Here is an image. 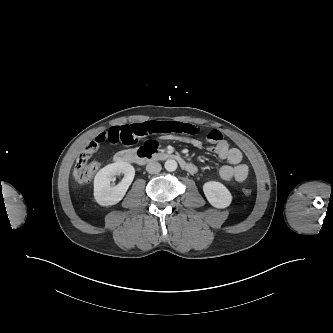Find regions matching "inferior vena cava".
Segmentation results:
<instances>
[{
  "label": "inferior vena cava",
  "mask_w": 333,
  "mask_h": 333,
  "mask_svg": "<svg viewBox=\"0 0 333 333\" xmlns=\"http://www.w3.org/2000/svg\"><path fill=\"white\" fill-rule=\"evenodd\" d=\"M146 170L150 174H156L161 171V164L158 162H151L147 164Z\"/></svg>",
  "instance_id": "obj_1"
}]
</instances>
